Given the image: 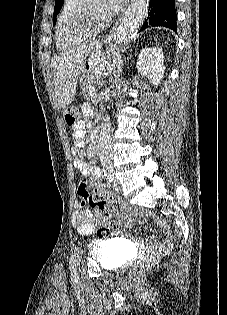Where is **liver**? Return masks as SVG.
<instances>
[{"label":"liver","instance_id":"liver-1","mask_svg":"<svg viewBox=\"0 0 227 315\" xmlns=\"http://www.w3.org/2000/svg\"><path fill=\"white\" fill-rule=\"evenodd\" d=\"M118 55L119 51L114 45L106 46L103 50L99 41L56 55L51 61V72L58 104L66 108L73 102L79 76L87 62L93 72L103 73L116 67Z\"/></svg>","mask_w":227,"mask_h":315}]
</instances>
